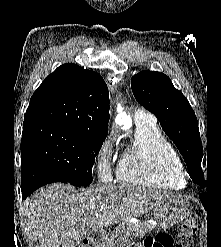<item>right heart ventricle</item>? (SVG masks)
<instances>
[{
    "label": "right heart ventricle",
    "instance_id": "1",
    "mask_svg": "<svg viewBox=\"0 0 221 247\" xmlns=\"http://www.w3.org/2000/svg\"><path fill=\"white\" fill-rule=\"evenodd\" d=\"M130 146L121 154L117 180L125 185L179 190L185 186L178 152L152 119L135 122Z\"/></svg>",
    "mask_w": 221,
    "mask_h": 247
}]
</instances>
